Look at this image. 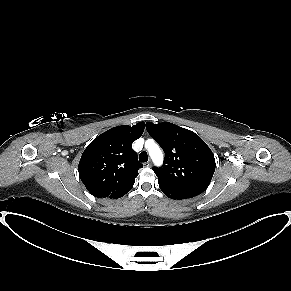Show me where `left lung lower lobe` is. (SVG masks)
<instances>
[{"label":"left lung lower lobe","instance_id":"0a47b994","mask_svg":"<svg viewBox=\"0 0 291 291\" xmlns=\"http://www.w3.org/2000/svg\"><path fill=\"white\" fill-rule=\"evenodd\" d=\"M160 189L162 190V192L168 197V198H171V199H186V198H189L190 196H185V195H182L180 193H177L173 190H170L168 188H165V187H162L161 185H159Z\"/></svg>","mask_w":291,"mask_h":291}]
</instances>
